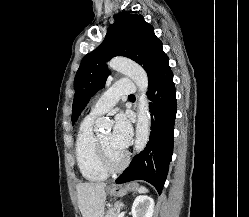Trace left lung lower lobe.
<instances>
[{"instance_id": "left-lung-lower-lobe-1", "label": "left lung lower lobe", "mask_w": 249, "mask_h": 217, "mask_svg": "<svg viewBox=\"0 0 249 217\" xmlns=\"http://www.w3.org/2000/svg\"><path fill=\"white\" fill-rule=\"evenodd\" d=\"M151 132L146 148L135 156L116 183L145 180L161 194L173 153L176 117V91L173 74L166 57L149 80Z\"/></svg>"}]
</instances>
